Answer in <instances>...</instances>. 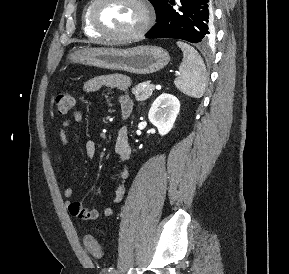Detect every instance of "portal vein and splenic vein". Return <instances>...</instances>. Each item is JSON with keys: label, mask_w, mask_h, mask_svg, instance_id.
I'll list each match as a JSON object with an SVG mask.
<instances>
[{"label": "portal vein and splenic vein", "mask_w": 289, "mask_h": 274, "mask_svg": "<svg viewBox=\"0 0 289 274\" xmlns=\"http://www.w3.org/2000/svg\"><path fill=\"white\" fill-rule=\"evenodd\" d=\"M154 89H155V86L152 85L151 88H150V90L153 91Z\"/></svg>", "instance_id": "obj_1"}]
</instances>
